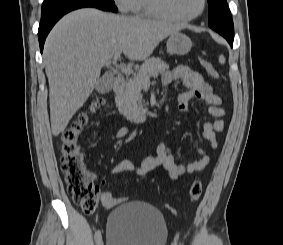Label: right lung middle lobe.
Segmentation results:
<instances>
[{
    "label": "right lung middle lobe",
    "mask_w": 283,
    "mask_h": 245,
    "mask_svg": "<svg viewBox=\"0 0 283 245\" xmlns=\"http://www.w3.org/2000/svg\"><path fill=\"white\" fill-rule=\"evenodd\" d=\"M83 2H105L115 4L113 0H44L42 4L41 15L71 4Z\"/></svg>",
    "instance_id": "right-lung-middle-lobe-1"
}]
</instances>
